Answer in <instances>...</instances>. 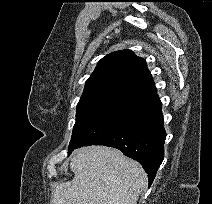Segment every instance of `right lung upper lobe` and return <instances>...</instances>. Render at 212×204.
<instances>
[{
	"instance_id": "cb5924a9",
	"label": "right lung upper lobe",
	"mask_w": 212,
	"mask_h": 204,
	"mask_svg": "<svg viewBox=\"0 0 212 204\" xmlns=\"http://www.w3.org/2000/svg\"><path fill=\"white\" fill-rule=\"evenodd\" d=\"M158 97L146 62L131 50L102 58L85 84L79 104L98 99H119L146 105Z\"/></svg>"
}]
</instances>
